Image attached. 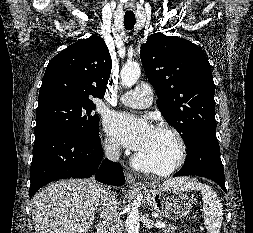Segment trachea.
I'll return each instance as SVG.
<instances>
[{"mask_svg": "<svg viewBox=\"0 0 253 233\" xmlns=\"http://www.w3.org/2000/svg\"><path fill=\"white\" fill-rule=\"evenodd\" d=\"M135 14L132 11H128L125 13L124 16V26L126 30H131L133 29L135 25Z\"/></svg>", "mask_w": 253, "mask_h": 233, "instance_id": "obj_1", "label": "trachea"}]
</instances>
